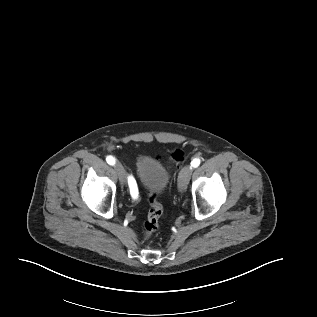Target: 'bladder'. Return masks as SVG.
I'll return each instance as SVG.
<instances>
[{"label": "bladder", "mask_w": 317, "mask_h": 317, "mask_svg": "<svg viewBox=\"0 0 317 317\" xmlns=\"http://www.w3.org/2000/svg\"><path fill=\"white\" fill-rule=\"evenodd\" d=\"M139 180L149 194L159 195L168 186L169 171L150 156H140L136 161Z\"/></svg>", "instance_id": "bladder-1"}]
</instances>
